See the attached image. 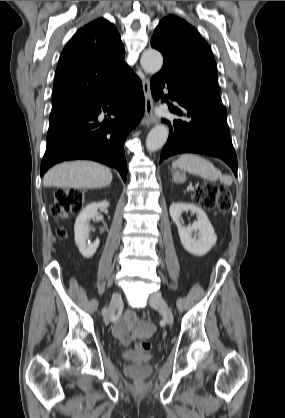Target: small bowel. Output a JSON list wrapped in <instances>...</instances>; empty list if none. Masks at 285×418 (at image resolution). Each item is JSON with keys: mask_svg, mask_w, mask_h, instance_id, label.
I'll use <instances>...</instances> for the list:
<instances>
[{"mask_svg": "<svg viewBox=\"0 0 285 418\" xmlns=\"http://www.w3.org/2000/svg\"><path fill=\"white\" fill-rule=\"evenodd\" d=\"M154 332L151 321L140 320L132 311H127L112 327L113 336L125 346L136 338H150Z\"/></svg>", "mask_w": 285, "mask_h": 418, "instance_id": "1", "label": "small bowel"}]
</instances>
